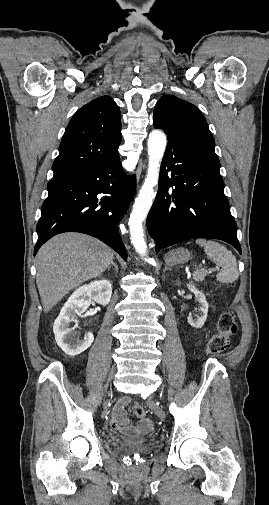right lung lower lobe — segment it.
Here are the masks:
<instances>
[{"instance_id":"obj_1","label":"right lung lower lobe","mask_w":269,"mask_h":505,"mask_svg":"<svg viewBox=\"0 0 269 505\" xmlns=\"http://www.w3.org/2000/svg\"><path fill=\"white\" fill-rule=\"evenodd\" d=\"M47 190L48 197L37 224L34 255L51 237L74 231L98 238L127 260L116 225L133 199L135 177L125 175L119 154L74 173L52 178Z\"/></svg>"}]
</instances>
